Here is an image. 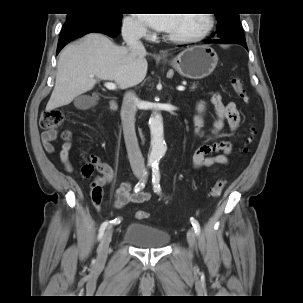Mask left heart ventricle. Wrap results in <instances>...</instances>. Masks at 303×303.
<instances>
[{
    "label": "left heart ventricle",
    "instance_id": "obj_1",
    "mask_svg": "<svg viewBox=\"0 0 303 303\" xmlns=\"http://www.w3.org/2000/svg\"><path fill=\"white\" fill-rule=\"evenodd\" d=\"M206 26V16L204 14H175L173 24L168 31L174 35L195 34Z\"/></svg>",
    "mask_w": 303,
    "mask_h": 303
}]
</instances>
